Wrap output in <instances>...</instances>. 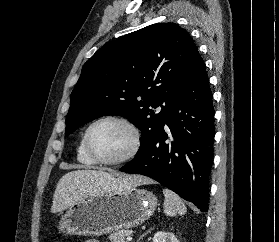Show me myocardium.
I'll return each mask as SVG.
<instances>
[{"label":"myocardium","mask_w":279,"mask_h":242,"mask_svg":"<svg viewBox=\"0 0 279 242\" xmlns=\"http://www.w3.org/2000/svg\"><path fill=\"white\" fill-rule=\"evenodd\" d=\"M103 122H116L125 126L131 133L132 136V143L130 149L127 153L119 158L116 159H102L98 157L91 148L90 145V135L92 130L100 123ZM142 145V135L141 131L138 126L129 118L118 116V115H106L97 118L94 120L86 129L84 134V148L87 155L97 164L107 165V166H116L127 163L134 159L137 154L139 153Z\"/></svg>","instance_id":"1"}]
</instances>
